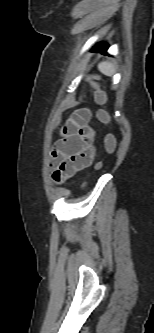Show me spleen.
<instances>
[{"label":"spleen","mask_w":154,"mask_h":333,"mask_svg":"<svg viewBox=\"0 0 154 333\" xmlns=\"http://www.w3.org/2000/svg\"><path fill=\"white\" fill-rule=\"evenodd\" d=\"M98 69L106 76H112L115 73V66L110 62H102L98 65Z\"/></svg>","instance_id":"obj_1"}]
</instances>
